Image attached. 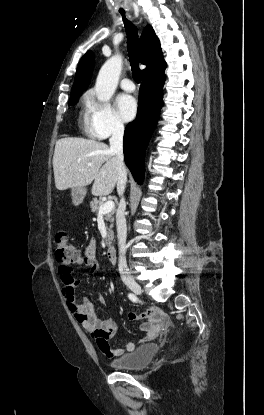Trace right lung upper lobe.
I'll return each instance as SVG.
<instances>
[{
	"label": "right lung upper lobe",
	"mask_w": 264,
	"mask_h": 415,
	"mask_svg": "<svg viewBox=\"0 0 264 415\" xmlns=\"http://www.w3.org/2000/svg\"><path fill=\"white\" fill-rule=\"evenodd\" d=\"M140 60L147 67L142 70V77L163 74L167 66L163 59L160 42L151 25H147L140 38ZM94 67V56L88 51L81 58L75 74L71 97L81 95L87 88Z\"/></svg>",
	"instance_id": "cb5924a9"
}]
</instances>
